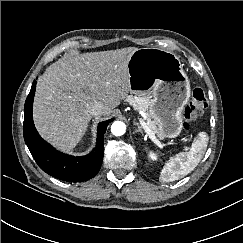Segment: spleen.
<instances>
[{
	"label": "spleen",
	"instance_id": "3e777b00",
	"mask_svg": "<svg viewBox=\"0 0 243 243\" xmlns=\"http://www.w3.org/2000/svg\"><path fill=\"white\" fill-rule=\"evenodd\" d=\"M208 140L206 132H200L194 139L189 151L178 153L165 163L160 173V181H175L193 171L205 154Z\"/></svg>",
	"mask_w": 243,
	"mask_h": 243
}]
</instances>
